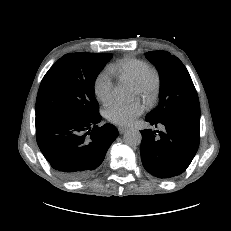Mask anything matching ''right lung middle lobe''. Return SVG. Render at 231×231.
I'll use <instances>...</instances> for the list:
<instances>
[{
	"label": "right lung middle lobe",
	"mask_w": 231,
	"mask_h": 231,
	"mask_svg": "<svg viewBox=\"0 0 231 231\" xmlns=\"http://www.w3.org/2000/svg\"><path fill=\"white\" fill-rule=\"evenodd\" d=\"M112 58L111 53H69L43 77L36 99V113L47 112L90 118L98 113L94 83Z\"/></svg>",
	"instance_id": "1"
}]
</instances>
